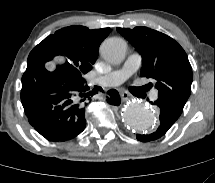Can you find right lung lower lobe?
<instances>
[{
  "instance_id": "98d812e1",
  "label": "right lung lower lobe",
  "mask_w": 215,
  "mask_h": 183,
  "mask_svg": "<svg viewBox=\"0 0 215 183\" xmlns=\"http://www.w3.org/2000/svg\"><path fill=\"white\" fill-rule=\"evenodd\" d=\"M92 93L85 79H76L67 67L47 72L36 49L29 54L21 102L29 123L49 141H67L85 129V108ZM107 102L120 105L118 91L109 90Z\"/></svg>"
}]
</instances>
